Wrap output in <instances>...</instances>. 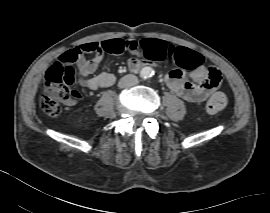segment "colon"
I'll use <instances>...</instances> for the list:
<instances>
[{
	"instance_id": "1",
	"label": "colon",
	"mask_w": 270,
	"mask_h": 213,
	"mask_svg": "<svg viewBox=\"0 0 270 213\" xmlns=\"http://www.w3.org/2000/svg\"><path fill=\"white\" fill-rule=\"evenodd\" d=\"M156 48L154 43H144L135 40L113 39L106 42V50L111 54H122L125 52L141 53L145 57ZM77 47L62 53L59 60L52 63L45 72L44 90L40 99L42 111L50 117L58 118L63 113V108L78 98V93L72 89L74 81L73 64L80 55ZM194 66L202 62L200 56L192 57ZM209 72L215 76L219 71L215 67H209ZM227 106V97L223 92L214 93L207 102V110L211 114L223 111Z\"/></svg>"
}]
</instances>
